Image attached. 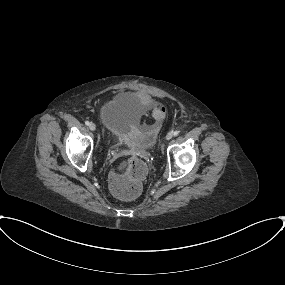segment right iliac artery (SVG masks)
Returning a JSON list of instances; mask_svg holds the SVG:
<instances>
[{
	"label": "right iliac artery",
	"instance_id": "right-iliac-artery-1",
	"mask_svg": "<svg viewBox=\"0 0 285 285\" xmlns=\"http://www.w3.org/2000/svg\"><path fill=\"white\" fill-rule=\"evenodd\" d=\"M85 124H86L87 126H89L90 123H89V121H85Z\"/></svg>",
	"mask_w": 285,
	"mask_h": 285
}]
</instances>
